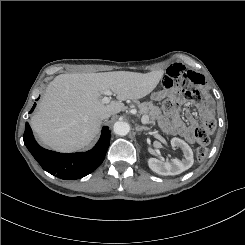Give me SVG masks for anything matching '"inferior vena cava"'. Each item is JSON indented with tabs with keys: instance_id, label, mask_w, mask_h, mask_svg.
Here are the masks:
<instances>
[{
	"instance_id": "602c4592",
	"label": "inferior vena cava",
	"mask_w": 245,
	"mask_h": 245,
	"mask_svg": "<svg viewBox=\"0 0 245 245\" xmlns=\"http://www.w3.org/2000/svg\"><path fill=\"white\" fill-rule=\"evenodd\" d=\"M110 116H111L110 114L106 113V114H103V115L101 116V119H107V118H109Z\"/></svg>"
}]
</instances>
